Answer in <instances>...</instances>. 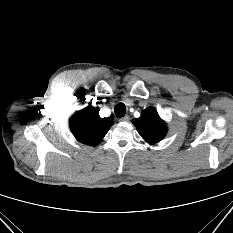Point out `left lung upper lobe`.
<instances>
[{"mask_svg": "<svg viewBox=\"0 0 233 233\" xmlns=\"http://www.w3.org/2000/svg\"><path fill=\"white\" fill-rule=\"evenodd\" d=\"M139 134L149 143H157L166 135L167 129L164 121L154 108L143 110L140 118L133 119Z\"/></svg>", "mask_w": 233, "mask_h": 233, "instance_id": "left-lung-upper-lobe-1", "label": "left lung upper lobe"}]
</instances>
